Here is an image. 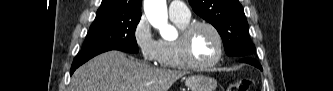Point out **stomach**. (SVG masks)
Segmentation results:
<instances>
[{
	"instance_id": "obj_1",
	"label": "stomach",
	"mask_w": 333,
	"mask_h": 91,
	"mask_svg": "<svg viewBox=\"0 0 333 91\" xmlns=\"http://www.w3.org/2000/svg\"><path fill=\"white\" fill-rule=\"evenodd\" d=\"M188 91H215L217 81L209 76L195 75L185 79Z\"/></svg>"
}]
</instances>
